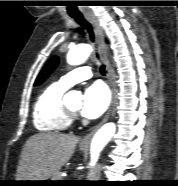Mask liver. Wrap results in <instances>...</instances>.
I'll list each match as a JSON object with an SVG mask.
<instances>
[{
    "mask_svg": "<svg viewBox=\"0 0 178 186\" xmlns=\"http://www.w3.org/2000/svg\"><path fill=\"white\" fill-rule=\"evenodd\" d=\"M78 141L77 136L62 133L46 132L31 136L23 147L16 179H49L69 161Z\"/></svg>",
    "mask_w": 178,
    "mask_h": 186,
    "instance_id": "obj_1",
    "label": "liver"
}]
</instances>
